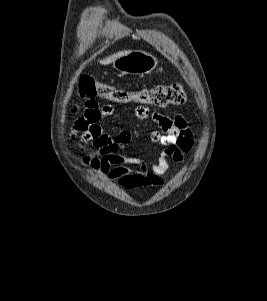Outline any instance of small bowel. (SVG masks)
I'll use <instances>...</instances> for the list:
<instances>
[{"mask_svg": "<svg viewBox=\"0 0 267 301\" xmlns=\"http://www.w3.org/2000/svg\"><path fill=\"white\" fill-rule=\"evenodd\" d=\"M79 108L82 113L75 120L72 131L80 133L81 141L90 142L96 151L93 156H85L83 163L124 190L163 186L169 162L181 163L184 155L193 149V133L184 118L179 115L169 117L139 106L135 109V116L140 120L150 118L159 127L160 131L151 134V142L161 146L162 151L150 166L139 159L126 158L120 150L130 141V133L103 131V121L115 114L114 107L100 106L95 98H86L82 107H74V111Z\"/></svg>", "mask_w": 267, "mask_h": 301, "instance_id": "c3829d8e", "label": "small bowel"}]
</instances>
